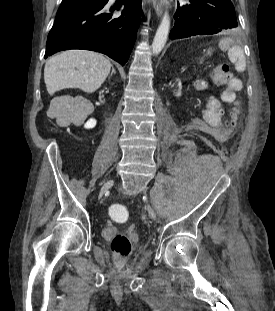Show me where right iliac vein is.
Instances as JSON below:
<instances>
[{
	"label": "right iliac vein",
	"mask_w": 275,
	"mask_h": 311,
	"mask_svg": "<svg viewBox=\"0 0 275 311\" xmlns=\"http://www.w3.org/2000/svg\"><path fill=\"white\" fill-rule=\"evenodd\" d=\"M113 184H114V181H113L112 179L107 180V181L103 184V186L101 187V189H100L99 198H101V197L105 194V192H106L109 188L112 187Z\"/></svg>",
	"instance_id": "63e3f726"
}]
</instances>
